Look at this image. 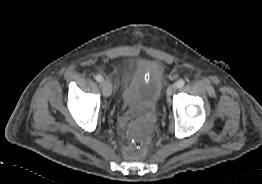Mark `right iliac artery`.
I'll return each mask as SVG.
<instances>
[{"label":"right iliac artery","instance_id":"right-iliac-artery-1","mask_svg":"<svg viewBox=\"0 0 262 184\" xmlns=\"http://www.w3.org/2000/svg\"><path fill=\"white\" fill-rule=\"evenodd\" d=\"M95 79L98 81V82H102L103 81V77L101 75H96Z\"/></svg>","mask_w":262,"mask_h":184}]
</instances>
